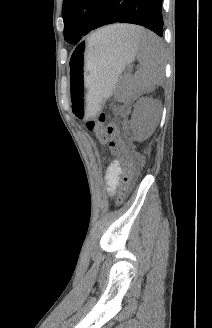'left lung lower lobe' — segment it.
Here are the masks:
<instances>
[{
    "label": "left lung lower lobe",
    "mask_w": 212,
    "mask_h": 328,
    "mask_svg": "<svg viewBox=\"0 0 212 328\" xmlns=\"http://www.w3.org/2000/svg\"><path fill=\"white\" fill-rule=\"evenodd\" d=\"M117 22L141 25L162 37V0H103L92 30Z\"/></svg>",
    "instance_id": "0a47b994"
}]
</instances>
